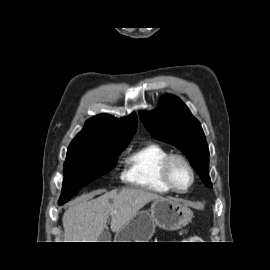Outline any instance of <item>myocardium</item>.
Instances as JSON below:
<instances>
[{"label":"myocardium","instance_id":"f54148a6","mask_svg":"<svg viewBox=\"0 0 270 270\" xmlns=\"http://www.w3.org/2000/svg\"><path fill=\"white\" fill-rule=\"evenodd\" d=\"M179 162L183 164L190 173V183L186 188H179L172 177V167L174 163ZM162 176L166 185L176 193L184 194L187 193L195 182V171L189 160L180 154H170L162 164Z\"/></svg>","mask_w":270,"mask_h":270}]
</instances>
